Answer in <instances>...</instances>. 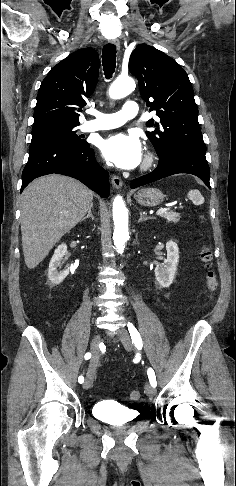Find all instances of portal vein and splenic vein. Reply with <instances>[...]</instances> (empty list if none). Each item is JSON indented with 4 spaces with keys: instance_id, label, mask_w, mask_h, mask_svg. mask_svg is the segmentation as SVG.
<instances>
[{
    "instance_id": "portal-vein-and-splenic-vein-1",
    "label": "portal vein and splenic vein",
    "mask_w": 236,
    "mask_h": 486,
    "mask_svg": "<svg viewBox=\"0 0 236 486\" xmlns=\"http://www.w3.org/2000/svg\"><path fill=\"white\" fill-rule=\"evenodd\" d=\"M168 210H170V208H169V207H166V208H160V209H159V210L156 212V214H157V215H162L163 213H166Z\"/></svg>"
}]
</instances>
